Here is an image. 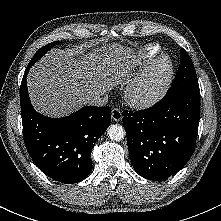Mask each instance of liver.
<instances>
[{"instance_id": "1", "label": "liver", "mask_w": 221, "mask_h": 221, "mask_svg": "<svg viewBox=\"0 0 221 221\" xmlns=\"http://www.w3.org/2000/svg\"><path fill=\"white\" fill-rule=\"evenodd\" d=\"M139 64L134 50L112 44L87 51V46L53 49L30 70L27 86L35 109L61 117L86 104L90 95L111 91Z\"/></svg>"}]
</instances>
